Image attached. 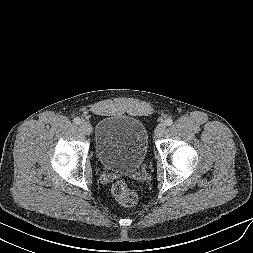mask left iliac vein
Returning a JSON list of instances; mask_svg holds the SVG:
<instances>
[{"instance_id":"1","label":"left iliac vein","mask_w":253,"mask_h":253,"mask_svg":"<svg viewBox=\"0 0 253 253\" xmlns=\"http://www.w3.org/2000/svg\"><path fill=\"white\" fill-rule=\"evenodd\" d=\"M166 130L165 124L161 123L159 124L155 129V137L160 138Z\"/></svg>"}]
</instances>
